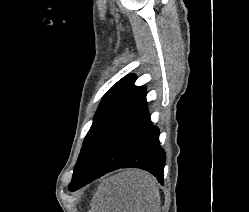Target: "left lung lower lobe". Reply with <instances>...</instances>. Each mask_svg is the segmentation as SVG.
<instances>
[{"instance_id": "obj_1", "label": "left lung lower lobe", "mask_w": 249, "mask_h": 212, "mask_svg": "<svg viewBox=\"0 0 249 212\" xmlns=\"http://www.w3.org/2000/svg\"><path fill=\"white\" fill-rule=\"evenodd\" d=\"M165 158L159 143V129L150 120L145 91L108 130L80 176L71 181L68 189L76 191L120 168L144 169L163 184Z\"/></svg>"}]
</instances>
